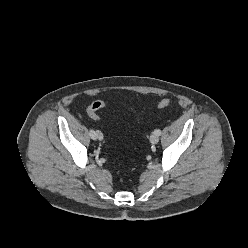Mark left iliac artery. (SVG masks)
I'll use <instances>...</instances> for the list:
<instances>
[{
  "label": "left iliac artery",
  "instance_id": "obj_1",
  "mask_svg": "<svg viewBox=\"0 0 248 248\" xmlns=\"http://www.w3.org/2000/svg\"><path fill=\"white\" fill-rule=\"evenodd\" d=\"M154 133L157 134L158 136H160V135H161V130L156 129V130L154 131Z\"/></svg>",
  "mask_w": 248,
  "mask_h": 248
}]
</instances>
